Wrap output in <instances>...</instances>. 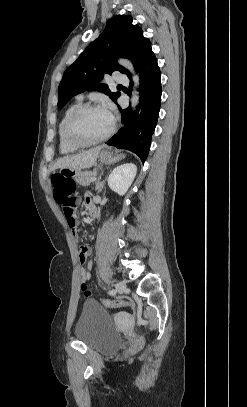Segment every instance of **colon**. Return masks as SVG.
I'll list each match as a JSON object with an SVG mask.
<instances>
[{
    "instance_id": "obj_1",
    "label": "colon",
    "mask_w": 247,
    "mask_h": 407,
    "mask_svg": "<svg viewBox=\"0 0 247 407\" xmlns=\"http://www.w3.org/2000/svg\"><path fill=\"white\" fill-rule=\"evenodd\" d=\"M53 196L57 203H65L70 197L74 196L76 191V184L74 181L65 178L62 175H53L51 178ZM82 291L86 297H91V292L87 287L86 282L82 283ZM102 303L109 308H116L121 306L133 307L130 302L118 301V300H102Z\"/></svg>"
}]
</instances>
